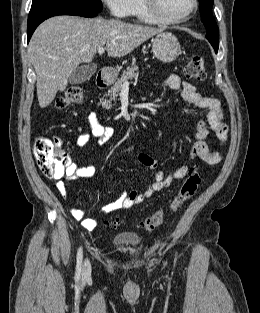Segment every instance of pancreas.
<instances>
[{
	"label": "pancreas",
	"instance_id": "cf45deb5",
	"mask_svg": "<svg viewBox=\"0 0 260 313\" xmlns=\"http://www.w3.org/2000/svg\"><path fill=\"white\" fill-rule=\"evenodd\" d=\"M137 76H138V66L136 65L128 67L125 71H123L121 77L118 78L117 81L114 82L111 89L108 90V94H106L102 98L100 102L102 107L110 108L112 106V100L115 101V99L119 96L123 88V83ZM107 97H109V99H107Z\"/></svg>",
	"mask_w": 260,
	"mask_h": 313
}]
</instances>
